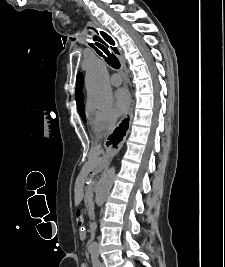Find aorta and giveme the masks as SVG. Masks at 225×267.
Segmentation results:
<instances>
[{
    "label": "aorta",
    "mask_w": 225,
    "mask_h": 267,
    "mask_svg": "<svg viewBox=\"0 0 225 267\" xmlns=\"http://www.w3.org/2000/svg\"><path fill=\"white\" fill-rule=\"evenodd\" d=\"M108 73L106 64L101 59L92 60L86 69V88L88 102L97 108H105L112 102L113 95L108 84ZM115 179V168L106 170L97 185L95 202L97 206L102 207L105 203ZM90 248L96 250L98 244L93 242Z\"/></svg>",
    "instance_id": "1"
}]
</instances>
